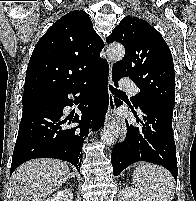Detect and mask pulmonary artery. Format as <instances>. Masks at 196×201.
I'll use <instances>...</instances> for the list:
<instances>
[{
    "label": "pulmonary artery",
    "instance_id": "1",
    "mask_svg": "<svg viewBox=\"0 0 196 201\" xmlns=\"http://www.w3.org/2000/svg\"><path fill=\"white\" fill-rule=\"evenodd\" d=\"M122 89L129 90L132 94L137 95L139 89L129 79H122L119 83Z\"/></svg>",
    "mask_w": 196,
    "mask_h": 201
}]
</instances>
